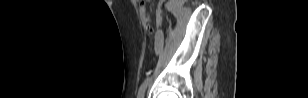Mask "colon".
Listing matches in <instances>:
<instances>
[{
    "instance_id": "obj_1",
    "label": "colon",
    "mask_w": 308,
    "mask_h": 98,
    "mask_svg": "<svg viewBox=\"0 0 308 98\" xmlns=\"http://www.w3.org/2000/svg\"><path fill=\"white\" fill-rule=\"evenodd\" d=\"M139 14L142 20V23L144 24V26L151 31V27H150V17L146 11V7L144 2L140 1L139 2Z\"/></svg>"
}]
</instances>
